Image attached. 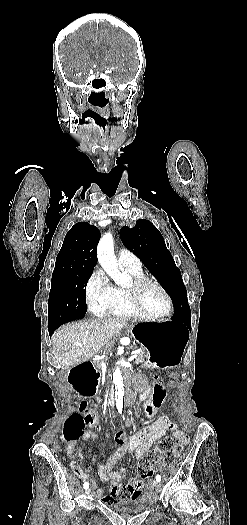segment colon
Listing matches in <instances>:
<instances>
[{
    "label": "colon",
    "mask_w": 247,
    "mask_h": 525,
    "mask_svg": "<svg viewBox=\"0 0 247 525\" xmlns=\"http://www.w3.org/2000/svg\"><path fill=\"white\" fill-rule=\"evenodd\" d=\"M165 378L162 375L157 376L155 380H147L145 387L147 389H155L153 393V402H145L143 409L146 415L143 418L155 419L154 412L160 410L164 403V398L167 395L168 386L165 384ZM110 424V421L104 419L90 417V413L87 411V405L80 404V413H75L69 417L66 423L64 431V439L68 442H72L83 436L84 427L94 428L96 432L102 430L101 426ZM126 424H133L137 426L139 421L134 419L133 421H126ZM142 428H147V420H142ZM103 430H107V427H103ZM174 446L173 436H166L160 440L155 449L147 453L137 465V474L140 479H145L153 474L154 468L158 462L164 459L165 455L172 450Z\"/></svg>",
    "instance_id": "1"
}]
</instances>
